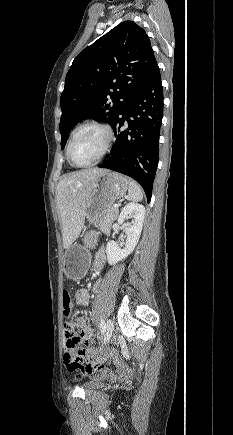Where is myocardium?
Here are the masks:
<instances>
[{
  "mask_svg": "<svg viewBox=\"0 0 233 435\" xmlns=\"http://www.w3.org/2000/svg\"><path fill=\"white\" fill-rule=\"evenodd\" d=\"M86 127H96L98 129H100L105 135V142L103 144L101 151L99 152V154L97 155V157L93 161L86 163V164H76L72 160V157H71V146H72L73 140H74L75 136L77 135V133ZM113 138H114L113 131H112L111 127L109 125H107L106 123L99 121V120L84 121V122L80 123L79 125H77L70 135V138H69V141L67 144V148H66L67 159L72 166L77 167V168H88V167L94 166V165L98 164L102 160V158L106 155V153L108 152V150L111 146Z\"/></svg>",
  "mask_w": 233,
  "mask_h": 435,
  "instance_id": "f54148a6",
  "label": "myocardium"
}]
</instances>
